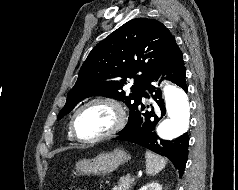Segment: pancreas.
I'll list each match as a JSON object with an SVG mask.
<instances>
[{
  "instance_id": "1",
  "label": "pancreas",
  "mask_w": 238,
  "mask_h": 190,
  "mask_svg": "<svg viewBox=\"0 0 238 190\" xmlns=\"http://www.w3.org/2000/svg\"><path fill=\"white\" fill-rule=\"evenodd\" d=\"M133 182H134V179H132L128 175L121 177L117 185H115L112 190H129Z\"/></svg>"
}]
</instances>
